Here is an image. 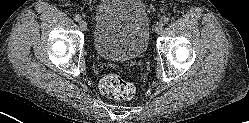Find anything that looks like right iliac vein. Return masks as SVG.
Wrapping results in <instances>:
<instances>
[{"mask_svg":"<svg viewBox=\"0 0 249 123\" xmlns=\"http://www.w3.org/2000/svg\"><path fill=\"white\" fill-rule=\"evenodd\" d=\"M79 26H80L81 30L85 31L87 29V22L84 20H80Z\"/></svg>","mask_w":249,"mask_h":123,"instance_id":"right-iliac-vein-1","label":"right iliac vein"}]
</instances>
